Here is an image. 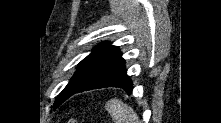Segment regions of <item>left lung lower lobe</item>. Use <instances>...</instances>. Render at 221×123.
<instances>
[{"label":"left lung lower lobe","instance_id":"left-lung-lower-lobe-1","mask_svg":"<svg viewBox=\"0 0 221 123\" xmlns=\"http://www.w3.org/2000/svg\"><path fill=\"white\" fill-rule=\"evenodd\" d=\"M124 63V59L119 57L86 81L80 88L74 91L73 94L104 87H120L123 88L126 93L130 94L133 89V84L126 74Z\"/></svg>","mask_w":221,"mask_h":123}]
</instances>
